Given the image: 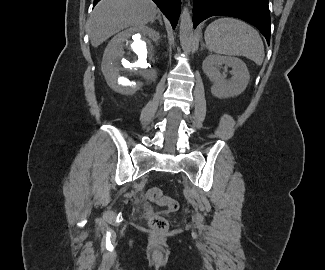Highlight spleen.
<instances>
[{"label": "spleen", "mask_w": 325, "mask_h": 270, "mask_svg": "<svg viewBox=\"0 0 325 270\" xmlns=\"http://www.w3.org/2000/svg\"><path fill=\"white\" fill-rule=\"evenodd\" d=\"M209 51L228 56H244L262 65L264 45L258 31L244 21L223 17L205 31Z\"/></svg>", "instance_id": "1"}]
</instances>
